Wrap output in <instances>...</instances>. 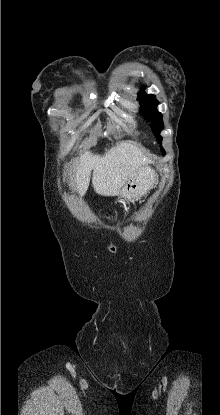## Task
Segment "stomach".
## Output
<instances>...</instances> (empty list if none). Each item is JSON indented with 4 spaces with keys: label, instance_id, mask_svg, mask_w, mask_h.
<instances>
[{
    "label": "stomach",
    "instance_id": "obj_1",
    "mask_svg": "<svg viewBox=\"0 0 220 415\" xmlns=\"http://www.w3.org/2000/svg\"><path fill=\"white\" fill-rule=\"evenodd\" d=\"M156 181V173L148 166H141L134 171L119 191V195L134 200L146 194Z\"/></svg>",
    "mask_w": 220,
    "mask_h": 415
}]
</instances>
